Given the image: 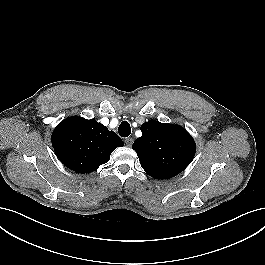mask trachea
Listing matches in <instances>:
<instances>
[{"label":"trachea","instance_id":"1","mask_svg":"<svg viewBox=\"0 0 265 265\" xmlns=\"http://www.w3.org/2000/svg\"><path fill=\"white\" fill-rule=\"evenodd\" d=\"M119 135L121 137H128L131 134V127L127 121H123L118 129Z\"/></svg>","mask_w":265,"mask_h":265}]
</instances>
